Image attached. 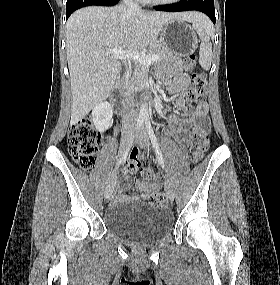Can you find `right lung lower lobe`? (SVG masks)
Returning a JSON list of instances; mask_svg holds the SVG:
<instances>
[{"instance_id":"1","label":"right lung lower lobe","mask_w":280,"mask_h":285,"mask_svg":"<svg viewBox=\"0 0 280 285\" xmlns=\"http://www.w3.org/2000/svg\"><path fill=\"white\" fill-rule=\"evenodd\" d=\"M119 0H67L66 3V20L77 9L85 6H113Z\"/></svg>"}]
</instances>
